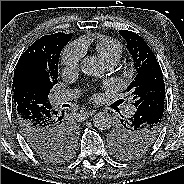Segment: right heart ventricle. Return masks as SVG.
I'll return each mask as SVG.
<instances>
[{"label":"right heart ventricle","mask_w":184,"mask_h":184,"mask_svg":"<svg viewBox=\"0 0 184 184\" xmlns=\"http://www.w3.org/2000/svg\"><path fill=\"white\" fill-rule=\"evenodd\" d=\"M81 42L84 46L88 45V42ZM95 51L98 56L107 64L110 62H118L123 54L124 48L122 44L116 39L109 37L99 38L95 43Z\"/></svg>","instance_id":"right-heart-ventricle-1"}]
</instances>
